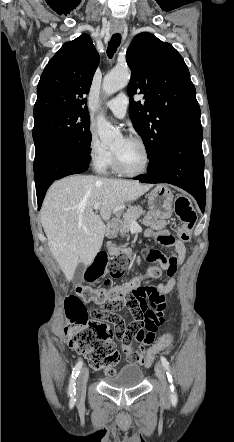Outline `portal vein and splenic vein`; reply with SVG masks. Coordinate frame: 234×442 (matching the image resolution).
Segmentation results:
<instances>
[{
  "instance_id": "1",
  "label": "portal vein and splenic vein",
  "mask_w": 234,
  "mask_h": 442,
  "mask_svg": "<svg viewBox=\"0 0 234 442\" xmlns=\"http://www.w3.org/2000/svg\"><path fill=\"white\" fill-rule=\"evenodd\" d=\"M100 205H101V204H100L99 202H97V203L94 204V207H93V208H94L95 210H98V209L100 208ZM124 216H126V214H125ZM131 223H133V222H131Z\"/></svg>"
}]
</instances>
